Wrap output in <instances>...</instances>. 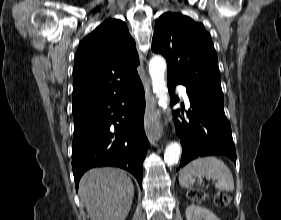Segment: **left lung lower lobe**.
<instances>
[{"instance_id": "obj_1", "label": "left lung lower lobe", "mask_w": 281, "mask_h": 220, "mask_svg": "<svg viewBox=\"0 0 281 220\" xmlns=\"http://www.w3.org/2000/svg\"><path fill=\"white\" fill-rule=\"evenodd\" d=\"M167 81L172 97L175 85L183 83L178 80ZM183 85L186 86L191 110L188 111L189 121L175 118L176 132L182 145L179 168L193 159L209 155H224L236 162L230 123L224 113V101L207 95L199 87ZM175 113L179 115V110Z\"/></svg>"}]
</instances>
